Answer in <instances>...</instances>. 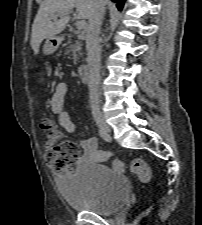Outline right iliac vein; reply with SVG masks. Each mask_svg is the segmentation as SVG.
I'll use <instances>...</instances> for the list:
<instances>
[{
	"instance_id": "1",
	"label": "right iliac vein",
	"mask_w": 202,
	"mask_h": 225,
	"mask_svg": "<svg viewBox=\"0 0 202 225\" xmlns=\"http://www.w3.org/2000/svg\"><path fill=\"white\" fill-rule=\"evenodd\" d=\"M94 120L96 121L97 125L100 127V129L105 132L109 133L110 132V127L105 121V118L103 117L102 113L99 111H96L93 113Z\"/></svg>"
}]
</instances>
